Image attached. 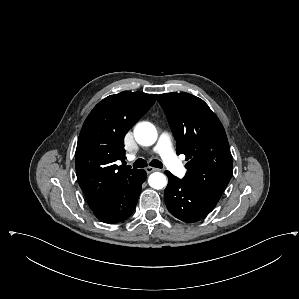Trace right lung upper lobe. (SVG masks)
Masks as SVG:
<instances>
[{"instance_id":"right-lung-upper-lobe-1","label":"right lung upper lobe","mask_w":299,"mask_h":299,"mask_svg":"<svg viewBox=\"0 0 299 299\" xmlns=\"http://www.w3.org/2000/svg\"><path fill=\"white\" fill-rule=\"evenodd\" d=\"M157 95L123 91L98 103L81 129L75 166L91 209L137 169L117 166L123 159L124 136L155 103Z\"/></svg>"}]
</instances>
